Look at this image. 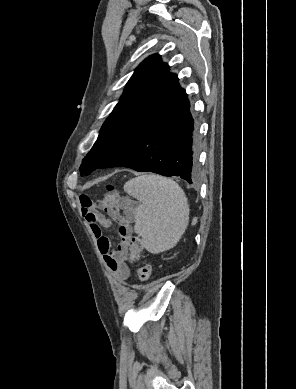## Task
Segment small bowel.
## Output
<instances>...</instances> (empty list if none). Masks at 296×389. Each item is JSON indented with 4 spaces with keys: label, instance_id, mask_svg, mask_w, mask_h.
Instances as JSON below:
<instances>
[{
    "label": "small bowel",
    "instance_id": "small-bowel-1",
    "mask_svg": "<svg viewBox=\"0 0 296 389\" xmlns=\"http://www.w3.org/2000/svg\"><path fill=\"white\" fill-rule=\"evenodd\" d=\"M81 212L93 232L100 253L109 271L118 280L129 278L131 270L126 264L131 223L135 217L136 205L128 199L106 198L93 201L87 196L80 197ZM118 224L119 242L112 248L110 240L103 234V228Z\"/></svg>",
    "mask_w": 296,
    "mask_h": 389
}]
</instances>
